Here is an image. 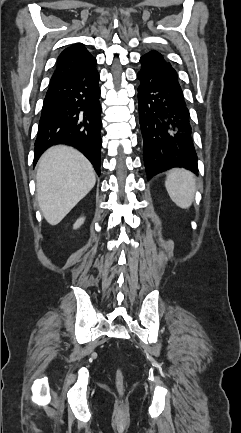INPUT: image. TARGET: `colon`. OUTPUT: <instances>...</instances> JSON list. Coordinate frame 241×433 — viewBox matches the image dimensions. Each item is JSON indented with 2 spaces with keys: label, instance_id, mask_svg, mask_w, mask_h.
Segmentation results:
<instances>
[{
  "label": "colon",
  "instance_id": "1",
  "mask_svg": "<svg viewBox=\"0 0 241 433\" xmlns=\"http://www.w3.org/2000/svg\"><path fill=\"white\" fill-rule=\"evenodd\" d=\"M118 384H119V386H121V384H122V375L120 372L118 373Z\"/></svg>",
  "mask_w": 241,
  "mask_h": 433
}]
</instances>
